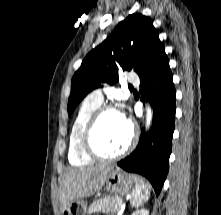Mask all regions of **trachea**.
<instances>
[{
  "instance_id": "obj_1",
  "label": "trachea",
  "mask_w": 221,
  "mask_h": 215,
  "mask_svg": "<svg viewBox=\"0 0 221 215\" xmlns=\"http://www.w3.org/2000/svg\"><path fill=\"white\" fill-rule=\"evenodd\" d=\"M129 88H133V86H132V85H129Z\"/></svg>"
}]
</instances>
